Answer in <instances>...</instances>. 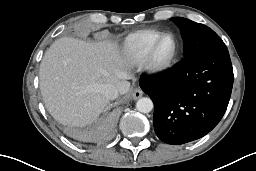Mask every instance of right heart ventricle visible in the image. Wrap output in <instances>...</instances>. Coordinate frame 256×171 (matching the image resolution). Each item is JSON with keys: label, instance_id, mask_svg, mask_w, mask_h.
<instances>
[{"label": "right heart ventricle", "instance_id": "e07e8e85", "mask_svg": "<svg viewBox=\"0 0 256 171\" xmlns=\"http://www.w3.org/2000/svg\"><path fill=\"white\" fill-rule=\"evenodd\" d=\"M162 33L157 29H143L129 34L123 42L125 57L132 63L145 61L151 44Z\"/></svg>", "mask_w": 256, "mask_h": 171}]
</instances>
